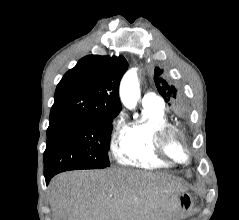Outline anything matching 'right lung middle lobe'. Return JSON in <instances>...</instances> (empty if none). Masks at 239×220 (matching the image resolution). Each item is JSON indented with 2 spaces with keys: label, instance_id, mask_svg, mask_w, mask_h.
Wrapping results in <instances>:
<instances>
[{
  "label": "right lung middle lobe",
  "instance_id": "right-lung-middle-lobe-1",
  "mask_svg": "<svg viewBox=\"0 0 239 220\" xmlns=\"http://www.w3.org/2000/svg\"><path fill=\"white\" fill-rule=\"evenodd\" d=\"M117 115L50 117L44 175L110 166L112 119Z\"/></svg>",
  "mask_w": 239,
  "mask_h": 220
}]
</instances>
